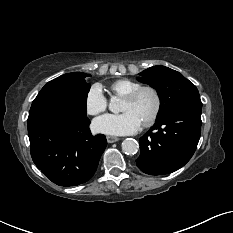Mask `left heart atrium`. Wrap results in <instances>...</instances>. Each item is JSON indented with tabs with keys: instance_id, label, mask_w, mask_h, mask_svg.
Masks as SVG:
<instances>
[{
	"instance_id": "obj_1",
	"label": "left heart atrium",
	"mask_w": 233,
	"mask_h": 233,
	"mask_svg": "<svg viewBox=\"0 0 233 233\" xmlns=\"http://www.w3.org/2000/svg\"><path fill=\"white\" fill-rule=\"evenodd\" d=\"M142 121L132 111L105 114L93 121V129L102 134L120 136L133 134L140 129Z\"/></svg>"
}]
</instances>
